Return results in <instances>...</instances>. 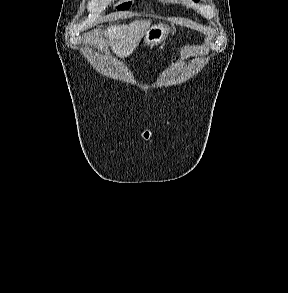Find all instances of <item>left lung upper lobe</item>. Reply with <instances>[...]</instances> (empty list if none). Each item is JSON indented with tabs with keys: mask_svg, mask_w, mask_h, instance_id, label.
I'll use <instances>...</instances> for the list:
<instances>
[{
	"mask_svg": "<svg viewBox=\"0 0 288 293\" xmlns=\"http://www.w3.org/2000/svg\"><path fill=\"white\" fill-rule=\"evenodd\" d=\"M195 2H198L199 0H194Z\"/></svg>",
	"mask_w": 288,
	"mask_h": 293,
	"instance_id": "left-lung-upper-lobe-1",
	"label": "left lung upper lobe"
}]
</instances>
